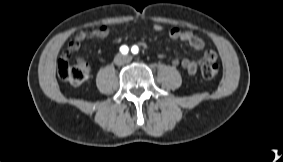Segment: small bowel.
Returning <instances> with one entry per match:
<instances>
[{"label":"small bowel","instance_id":"c3829d8e","mask_svg":"<svg viewBox=\"0 0 283 162\" xmlns=\"http://www.w3.org/2000/svg\"><path fill=\"white\" fill-rule=\"evenodd\" d=\"M153 30L156 32H162L163 27L155 23L152 26ZM109 31L106 26H100L97 29H95L92 32V36L98 39H103L107 37ZM169 36L171 39L180 41V42H186L188 43L191 47H193L196 50H203L204 49V41L194 35L192 32L189 31H182L179 28H171L169 30ZM89 37V34L85 31H79L75 37L69 42L67 50L62 54V58H65L69 60L70 56L72 53L76 52L79 48L81 43ZM143 47H147L145 43H141ZM207 53H213L212 51H208L205 53V56ZM204 56V58H205ZM162 57V55H160ZM78 63H85L82 59L78 60ZM170 63L173 66L180 67L184 71H186L189 75H194L197 73L199 66H200V59L198 58H193V59H188V58H175L170 61Z\"/></svg>","mask_w":283,"mask_h":162}]
</instances>
